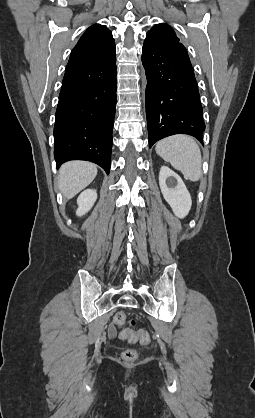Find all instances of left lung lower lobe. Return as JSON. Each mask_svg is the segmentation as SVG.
<instances>
[{"label":"left lung lower lobe","instance_id":"1","mask_svg":"<svg viewBox=\"0 0 255 418\" xmlns=\"http://www.w3.org/2000/svg\"><path fill=\"white\" fill-rule=\"evenodd\" d=\"M149 147L158 140L189 134L202 142L205 130L197 81L183 45L158 47L144 41Z\"/></svg>","mask_w":255,"mask_h":418}]
</instances>
